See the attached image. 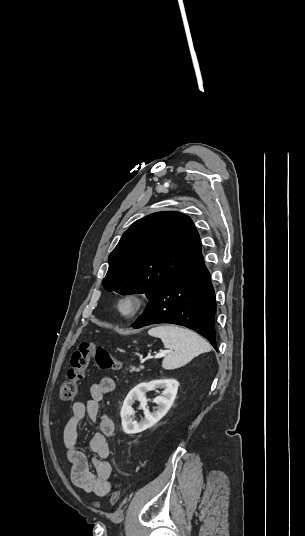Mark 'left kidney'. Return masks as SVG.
I'll return each instance as SVG.
<instances>
[{
	"label": "left kidney",
	"instance_id": "1",
	"mask_svg": "<svg viewBox=\"0 0 305 536\" xmlns=\"http://www.w3.org/2000/svg\"><path fill=\"white\" fill-rule=\"evenodd\" d=\"M179 382L177 380H153V382H142L135 386L131 392H129L127 398H125L121 410V420L122 428L126 434H139V432H144L147 428H152L155 426L168 410H170L177 394ZM156 388H164L161 396L155 398L153 402L158 404L156 412H149L147 406L146 392L150 390H156ZM135 400L140 402V410H143L145 418L141 422H134L131 416H133V404Z\"/></svg>",
	"mask_w": 305,
	"mask_h": 536
}]
</instances>
